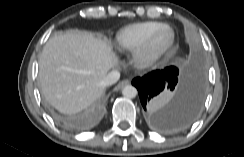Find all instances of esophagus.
<instances>
[{
	"mask_svg": "<svg viewBox=\"0 0 244 157\" xmlns=\"http://www.w3.org/2000/svg\"><path fill=\"white\" fill-rule=\"evenodd\" d=\"M130 83L129 80L125 79V80H122L120 81L115 87H114V90L115 91H118L120 89H122L124 86L128 85Z\"/></svg>",
	"mask_w": 244,
	"mask_h": 157,
	"instance_id": "esophagus-1",
	"label": "esophagus"
}]
</instances>
